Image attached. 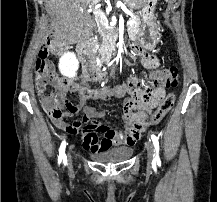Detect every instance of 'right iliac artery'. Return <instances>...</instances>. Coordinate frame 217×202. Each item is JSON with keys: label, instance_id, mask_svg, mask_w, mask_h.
Instances as JSON below:
<instances>
[{"label": "right iliac artery", "instance_id": "right-iliac-artery-1", "mask_svg": "<svg viewBox=\"0 0 217 202\" xmlns=\"http://www.w3.org/2000/svg\"><path fill=\"white\" fill-rule=\"evenodd\" d=\"M65 148H66V141L64 140L61 143L60 149H59V157H58V163H61L63 161V163L67 164V157L65 154Z\"/></svg>", "mask_w": 217, "mask_h": 202}]
</instances>
